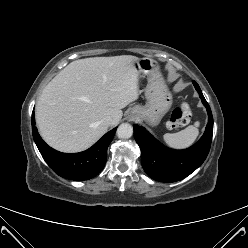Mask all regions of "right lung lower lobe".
Masks as SVG:
<instances>
[{"label":"right lung lower lobe","mask_w":248,"mask_h":248,"mask_svg":"<svg viewBox=\"0 0 248 248\" xmlns=\"http://www.w3.org/2000/svg\"><path fill=\"white\" fill-rule=\"evenodd\" d=\"M32 131L35 143L51 169L61 177L83 181L95 177L106 163L107 148L117 128L106 133L89 149L79 153H62L49 147L40 137L35 127L34 111L32 112Z\"/></svg>","instance_id":"obj_1"}]
</instances>
